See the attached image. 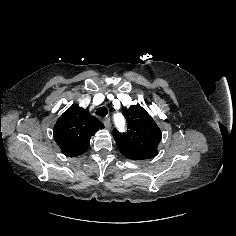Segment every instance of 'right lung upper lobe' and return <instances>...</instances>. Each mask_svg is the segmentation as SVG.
<instances>
[{
	"mask_svg": "<svg viewBox=\"0 0 236 236\" xmlns=\"http://www.w3.org/2000/svg\"><path fill=\"white\" fill-rule=\"evenodd\" d=\"M104 125L86 109L72 105L57 120L53 134L62 153L74 157L87 151L90 138Z\"/></svg>",
	"mask_w": 236,
	"mask_h": 236,
	"instance_id": "obj_1",
	"label": "right lung upper lobe"
}]
</instances>
